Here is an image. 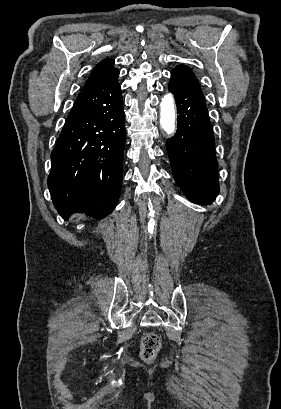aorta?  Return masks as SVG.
Here are the masks:
<instances>
[{
  "instance_id": "762f6f07",
  "label": "aorta",
  "mask_w": 281,
  "mask_h": 409,
  "mask_svg": "<svg viewBox=\"0 0 281 409\" xmlns=\"http://www.w3.org/2000/svg\"><path fill=\"white\" fill-rule=\"evenodd\" d=\"M160 124L167 134L175 130V101L172 94H166L160 104Z\"/></svg>"
}]
</instances>
